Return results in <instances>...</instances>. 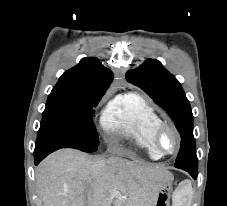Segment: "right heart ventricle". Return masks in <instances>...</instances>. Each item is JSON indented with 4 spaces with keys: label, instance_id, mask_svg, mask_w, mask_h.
Here are the masks:
<instances>
[{
    "label": "right heart ventricle",
    "instance_id": "obj_1",
    "mask_svg": "<svg viewBox=\"0 0 227 206\" xmlns=\"http://www.w3.org/2000/svg\"><path fill=\"white\" fill-rule=\"evenodd\" d=\"M162 122L155 107L136 92L112 99L101 116V125L106 132L119 134L153 160L161 157L152 145V134Z\"/></svg>",
    "mask_w": 227,
    "mask_h": 206
}]
</instances>
